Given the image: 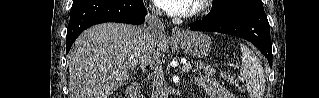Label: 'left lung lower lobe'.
<instances>
[{
    "instance_id": "obj_1",
    "label": "left lung lower lobe",
    "mask_w": 319,
    "mask_h": 98,
    "mask_svg": "<svg viewBox=\"0 0 319 98\" xmlns=\"http://www.w3.org/2000/svg\"><path fill=\"white\" fill-rule=\"evenodd\" d=\"M190 29L220 32L244 38L252 42L272 66L270 26L262 2L254 1L239 5L220 19L205 20L203 18L191 23Z\"/></svg>"
}]
</instances>
